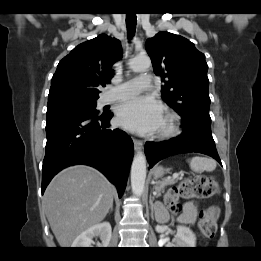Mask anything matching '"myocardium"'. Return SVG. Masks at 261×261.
Instances as JSON below:
<instances>
[{
	"label": "myocardium",
	"instance_id": "1",
	"mask_svg": "<svg viewBox=\"0 0 261 261\" xmlns=\"http://www.w3.org/2000/svg\"><path fill=\"white\" fill-rule=\"evenodd\" d=\"M180 130V118L173 112H167L164 118V126L160 130V136L171 138L176 136Z\"/></svg>",
	"mask_w": 261,
	"mask_h": 261
}]
</instances>
